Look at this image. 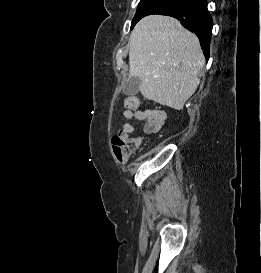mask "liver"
<instances>
[{"label":"liver","mask_w":261,"mask_h":273,"mask_svg":"<svg viewBox=\"0 0 261 273\" xmlns=\"http://www.w3.org/2000/svg\"><path fill=\"white\" fill-rule=\"evenodd\" d=\"M204 65L198 38L175 18L146 16L131 33L129 76L140 79V93L148 100L183 109L200 83Z\"/></svg>","instance_id":"1"}]
</instances>
